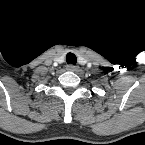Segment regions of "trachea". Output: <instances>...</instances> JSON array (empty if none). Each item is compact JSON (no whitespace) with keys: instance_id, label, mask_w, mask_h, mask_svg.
Listing matches in <instances>:
<instances>
[{"instance_id":"trachea-1","label":"trachea","mask_w":145,"mask_h":145,"mask_svg":"<svg viewBox=\"0 0 145 145\" xmlns=\"http://www.w3.org/2000/svg\"><path fill=\"white\" fill-rule=\"evenodd\" d=\"M66 61H67L68 64H73V65H75L76 62H77V58H76L75 54H73V53H68V54L66 55Z\"/></svg>"}]
</instances>
